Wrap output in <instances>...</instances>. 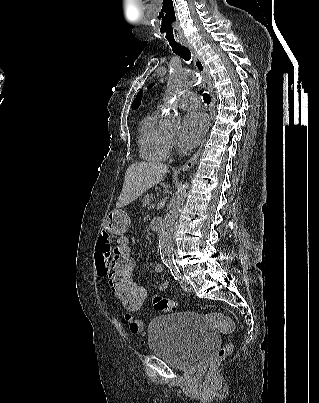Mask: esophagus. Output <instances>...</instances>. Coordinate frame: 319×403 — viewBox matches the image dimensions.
Wrapping results in <instances>:
<instances>
[{
    "label": "esophagus",
    "mask_w": 319,
    "mask_h": 403,
    "mask_svg": "<svg viewBox=\"0 0 319 403\" xmlns=\"http://www.w3.org/2000/svg\"><path fill=\"white\" fill-rule=\"evenodd\" d=\"M181 43L191 51L193 60H194V66H195L196 70L198 72H200V74L205 78V80L207 82V86H208L210 96H211L209 113H210V120L212 121L213 116H214V107H215L216 99H215V95H214V91H213V87H212V80H211L209 69L205 65L203 59L197 53L195 48L188 41H181ZM205 140H206V136L204 137L199 149L195 152V154L184 165H182L179 168L180 171H187L192 168V166L194 165V163L196 162L197 158L200 155V152L202 150L203 143L205 142Z\"/></svg>",
    "instance_id": "34e87169"
}]
</instances>
